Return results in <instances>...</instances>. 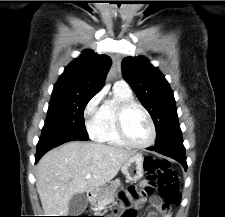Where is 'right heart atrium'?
Instances as JSON below:
<instances>
[{
	"label": "right heart atrium",
	"mask_w": 225,
	"mask_h": 217,
	"mask_svg": "<svg viewBox=\"0 0 225 217\" xmlns=\"http://www.w3.org/2000/svg\"><path fill=\"white\" fill-rule=\"evenodd\" d=\"M103 93L99 92L92 97L84 108L85 126L89 135L98 138L101 130V101Z\"/></svg>",
	"instance_id": "d8ad5b80"
}]
</instances>
